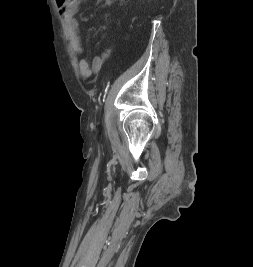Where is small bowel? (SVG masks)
<instances>
[{"mask_svg": "<svg viewBox=\"0 0 253 267\" xmlns=\"http://www.w3.org/2000/svg\"><path fill=\"white\" fill-rule=\"evenodd\" d=\"M84 0H75V3L70 6H59L60 15L64 21L67 36L69 39L70 47L73 54L79 58V67L82 71L87 70L88 63L86 59L83 57V41L82 34L79 27V23L76 18V14L79 10L80 4ZM114 0H104L105 6H110ZM110 54V50L105 51L102 55L94 58L93 65L98 67Z\"/></svg>", "mask_w": 253, "mask_h": 267, "instance_id": "obj_1", "label": "small bowel"}]
</instances>
